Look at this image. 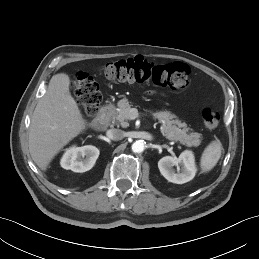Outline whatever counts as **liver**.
Returning a JSON list of instances; mask_svg holds the SVG:
<instances>
[{"mask_svg": "<svg viewBox=\"0 0 259 259\" xmlns=\"http://www.w3.org/2000/svg\"><path fill=\"white\" fill-rule=\"evenodd\" d=\"M66 73L52 76L46 94L38 101L29 130V151L45 171L55 155L82 133L88 123L69 91Z\"/></svg>", "mask_w": 259, "mask_h": 259, "instance_id": "1", "label": "liver"}]
</instances>
